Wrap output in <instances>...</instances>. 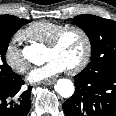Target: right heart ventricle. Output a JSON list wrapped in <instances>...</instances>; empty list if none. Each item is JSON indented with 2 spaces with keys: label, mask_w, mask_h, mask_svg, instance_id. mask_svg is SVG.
<instances>
[{
  "label": "right heart ventricle",
  "mask_w": 116,
  "mask_h": 116,
  "mask_svg": "<svg viewBox=\"0 0 116 116\" xmlns=\"http://www.w3.org/2000/svg\"><path fill=\"white\" fill-rule=\"evenodd\" d=\"M63 26L65 25L58 22L41 20L30 24L20 34L23 39L31 42L48 44L54 34Z\"/></svg>",
  "instance_id": "right-heart-ventricle-1"
}]
</instances>
